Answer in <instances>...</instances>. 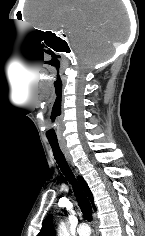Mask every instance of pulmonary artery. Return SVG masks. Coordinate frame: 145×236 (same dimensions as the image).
<instances>
[{
	"mask_svg": "<svg viewBox=\"0 0 145 236\" xmlns=\"http://www.w3.org/2000/svg\"><path fill=\"white\" fill-rule=\"evenodd\" d=\"M90 227L87 223H81L77 228L78 236H90Z\"/></svg>",
	"mask_w": 145,
	"mask_h": 236,
	"instance_id": "obj_1",
	"label": "pulmonary artery"
}]
</instances>
